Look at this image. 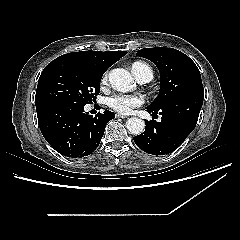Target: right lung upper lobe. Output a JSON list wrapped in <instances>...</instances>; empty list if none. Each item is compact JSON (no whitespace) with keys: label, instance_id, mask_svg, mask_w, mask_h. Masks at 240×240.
<instances>
[{"label":"right lung upper lobe","instance_id":"1","mask_svg":"<svg viewBox=\"0 0 240 240\" xmlns=\"http://www.w3.org/2000/svg\"><path fill=\"white\" fill-rule=\"evenodd\" d=\"M126 51H80L62 55L56 59L70 58L86 63L94 71L104 73L111 65L122 58Z\"/></svg>","mask_w":240,"mask_h":240}]
</instances>
